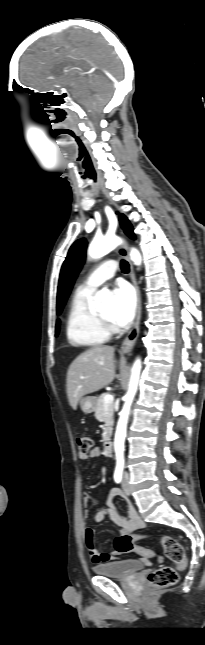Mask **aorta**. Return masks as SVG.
I'll use <instances>...</instances> for the list:
<instances>
[{
	"label": "aorta",
	"instance_id": "1",
	"mask_svg": "<svg viewBox=\"0 0 205 645\" xmlns=\"http://www.w3.org/2000/svg\"><path fill=\"white\" fill-rule=\"evenodd\" d=\"M120 242L121 240L116 236H106L101 239H95L90 244L88 253L93 259L101 258L115 249L120 244ZM130 257L136 265L141 264V255L137 249H131ZM95 299V307L98 310H103L107 306L111 305V303L109 302V293L105 290L97 292ZM140 372L141 361L140 359H137L131 370L128 392L124 397L125 403L122 411L120 412V417L115 432L114 451L118 464L124 463V443L126 437L127 422L130 413V407L137 391Z\"/></svg>",
	"mask_w": 205,
	"mask_h": 645
}]
</instances>
